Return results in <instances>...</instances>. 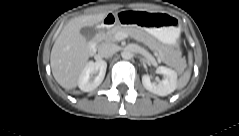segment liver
<instances>
[{
  "label": "liver",
  "mask_w": 239,
  "mask_h": 136,
  "mask_svg": "<svg viewBox=\"0 0 239 136\" xmlns=\"http://www.w3.org/2000/svg\"><path fill=\"white\" fill-rule=\"evenodd\" d=\"M106 13L82 15L71 19L56 39L50 56L55 80L66 90L76 88L79 76L92 55L91 48L80 30L105 19Z\"/></svg>",
  "instance_id": "liver-1"
}]
</instances>
